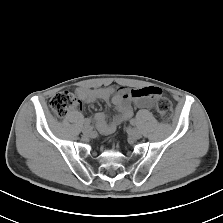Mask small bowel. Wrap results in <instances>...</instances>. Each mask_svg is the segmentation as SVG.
<instances>
[{
    "instance_id": "obj_1",
    "label": "small bowel",
    "mask_w": 223,
    "mask_h": 223,
    "mask_svg": "<svg viewBox=\"0 0 223 223\" xmlns=\"http://www.w3.org/2000/svg\"><path fill=\"white\" fill-rule=\"evenodd\" d=\"M155 87L129 89L126 87H80L76 90L78 100L82 103L103 101L117 110V114L107 121L105 112H98L94 116L97 130L102 134H111L116 128L133 115V106L140 109L152 108V92Z\"/></svg>"
}]
</instances>
